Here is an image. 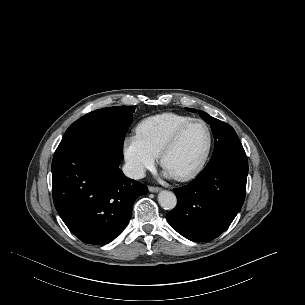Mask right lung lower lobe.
Returning <instances> with one entry per match:
<instances>
[{
	"label": "right lung lower lobe",
	"instance_id": "98d812e1",
	"mask_svg": "<svg viewBox=\"0 0 305 305\" xmlns=\"http://www.w3.org/2000/svg\"><path fill=\"white\" fill-rule=\"evenodd\" d=\"M121 160L99 142L54 154L51 169L55 208L84 243L104 245L114 240L128 224L135 199L148 191L123 174Z\"/></svg>",
	"mask_w": 305,
	"mask_h": 305
}]
</instances>
